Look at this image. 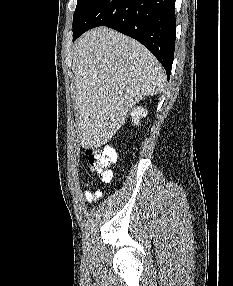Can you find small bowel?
I'll return each instance as SVG.
<instances>
[{
	"label": "small bowel",
	"instance_id": "1",
	"mask_svg": "<svg viewBox=\"0 0 233 286\" xmlns=\"http://www.w3.org/2000/svg\"><path fill=\"white\" fill-rule=\"evenodd\" d=\"M87 184L88 182H86V185ZM99 197H100V193L98 192L92 193L90 191H85L84 193L85 200L90 204L94 203Z\"/></svg>",
	"mask_w": 233,
	"mask_h": 286
}]
</instances>
